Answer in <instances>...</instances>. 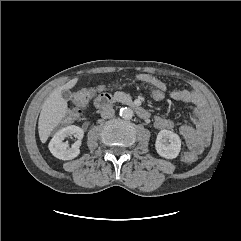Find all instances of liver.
Returning a JSON list of instances; mask_svg holds the SVG:
<instances>
[{
    "instance_id": "1",
    "label": "liver",
    "mask_w": 241,
    "mask_h": 241,
    "mask_svg": "<svg viewBox=\"0 0 241 241\" xmlns=\"http://www.w3.org/2000/svg\"><path fill=\"white\" fill-rule=\"evenodd\" d=\"M77 82V77L69 80L52 91L44 101L38 122L39 137L42 143L47 141L53 129L61 123L66 115L67 102L61 95L62 91L73 88Z\"/></svg>"
}]
</instances>
